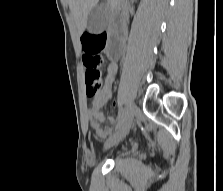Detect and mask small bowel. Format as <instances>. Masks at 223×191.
Returning <instances> with one entry per match:
<instances>
[{
    "label": "small bowel",
    "mask_w": 223,
    "mask_h": 191,
    "mask_svg": "<svg viewBox=\"0 0 223 191\" xmlns=\"http://www.w3.org/2000/svg\"><path fill=\"white\" fill-rule=\"evenodd\" d=\"M117 73V66L111 63L107 69V75L104 79L101 90L92 97L90 108L87 112L90 127L96 132L100 138H107L114 130L113 126L119 127L123 121L122 116L111 117L108 122L111 126L103 128L101 123L105 120L103 108L112 97V84Z\"/></svg>",
    "instance_id": "1"
}]
</instances>
